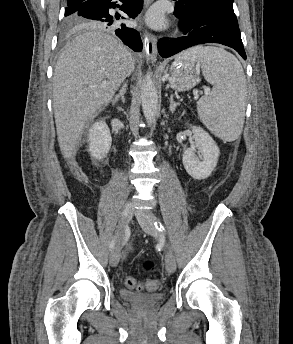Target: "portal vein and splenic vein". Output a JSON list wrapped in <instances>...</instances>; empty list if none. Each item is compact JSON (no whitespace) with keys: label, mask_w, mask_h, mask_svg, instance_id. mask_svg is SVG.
I'll return each instance as SVG.
<instances>
[{"label":"portal vein and splenic vein","mask_w":293,"mask_h":344,"mask_svg":"<svg viewBox=\"0 0 293 344\" xmlns=\"http://www.w3.org/2000/svg\"><path fill=\"white\" fill-rule=\"evenodd\" d=\"M209 91H210L209 88H205V89H204V93H205L206 95L209 94ZM195 98H198V95H197V94L195 95Z\"/></svg>","instance_id":"obj_1"}]
</instances>
